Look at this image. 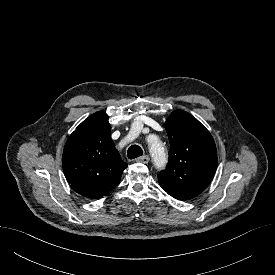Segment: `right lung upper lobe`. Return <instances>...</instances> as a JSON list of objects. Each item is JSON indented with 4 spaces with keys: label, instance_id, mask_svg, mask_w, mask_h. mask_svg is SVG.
Segmentation results:
<instances>
[{
    "label": "right lung upper lobe",
    "instance_id": "1",
    "mask_svg": "<svg viewBox=\"0 0 275 275\" xmlns=\"http://www.w3.org/2000/svg\"><path fill=\"white\" fill-rule=\"evenodd\" d=\"M111 126L105 112L84 120L68 138L62 166L72 189L88 198L99 199L115 187L127 164L110 138Z\"/></svg>",
    "mask_w": 275,
    "mask_h": 275
}]
</instances>
